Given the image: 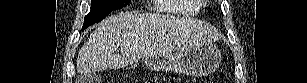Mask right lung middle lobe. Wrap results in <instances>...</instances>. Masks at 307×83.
Wrapping results in <instances>:
<instances>
[{"instance_id": "1", "label": "right lung middle lobe", "mask_w": 307, "mask_h": 83, "mask_svg": "<svg viewBox=\"0 0 307 83\" xmlns=\"http://www.w3.org/2000/svg\"><path fill=\"white\" fill-rule=\"evenodd\" d=\"M131 0H92L91 12L85 17L82 30L89 25L102 20L112 10L121 9Z\"/></svg>"}]
</instances>
